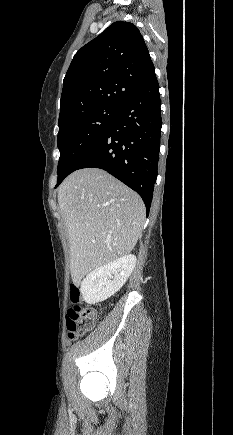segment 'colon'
<instances>
[{"label":"colon","mask_w":233,"mask_h":435,"mask_svg":"<svg viewBox=\"0 0 233 435\" xmlns=\"http://www.w3.org/2000/svg\"><path fill=\"white\" fill-rule=\"evenodd\" d=\"M82 296L81 285L73 282L69 287V298L73 307L68 310L67 331L70 340L78 339L91 331L98 318L97 310L80 306Z\"/></svg>","instance_id":"1"}]
</instances>
